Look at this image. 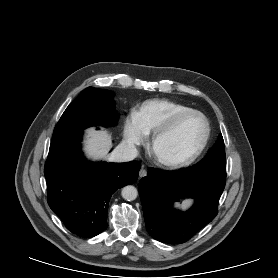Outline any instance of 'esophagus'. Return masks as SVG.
I'll use <instances>...</instances> for the list:
<instances>
[{
    "instance_id": "esophagus-1",
    "label": "esophagus",
    "mask_w": 278,
    "mask_h": 278,
    "mask_svg": "<svg viewBox=\"0 0 278 278\" xmlns=\"http://www.w3.org/2000/svg\"><path fill=\"white\" fill-rule=\"evenodd\" d=\"M145 176H147V170L142 168V169L139 171V178H143V177H145Z\"/></svg>"
}]
</instances>
